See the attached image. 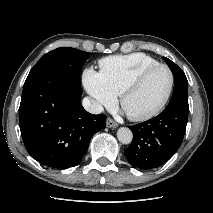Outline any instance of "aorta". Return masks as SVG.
<instances>
[{
  "instance_id": "obj_1",
  "label": "aorta",
  "mask_w": 213,
  "mask_h": 213,
  "mask_svg": "<svg viewBox=\"0 0 213 213\" xmlns=\"http://www.w3.org/2000/svg\"><path fill=\"white\" fill-rule=\"evenodd\" d=\"M117 138L122 144H129L132 142L133 133L127 127H121L117 131Z\"/></svg>"
}]
</instances>
